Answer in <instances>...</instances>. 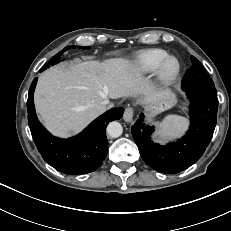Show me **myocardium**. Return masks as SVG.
<instances>
[{
  "label": "myocardium",
  "mask_w": 231,
  "mask_h": 231,
  "mask_svg": "<svg viewBox=\"0 0 231 231\" xmlns=\"http://www.w3.org/2000/svg\"><path fill=\"white\" fill-rule=\"evenodd\" d=\"M170 61H175L176 67L172 73L166 72V67ZM181 62L173 55L166 56L158 65L154 72V82L159 90H165L172 87L181 74Z\"/></svg>",
  "instance_id": "myocardium-1"
}]
</instances>
